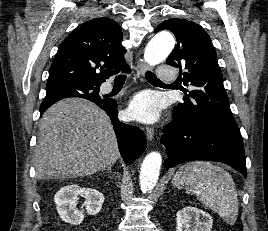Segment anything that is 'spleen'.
<instances>
[{
    "instance_id": "1",
    "label": "spleen",
    "mask_w": 268,
    "mask_h": 231,
    "mask_svg": "<svg viewBox=\"0 0 268 231\" xmlns=\"http://www.w3.org/2000/svg\"><path fill=\"white\" fill-rule=\"evenodd\" d=\"M173 186H186L189 192L207 208L217 212L227 223L234 224L238 216V199L231 175L207 161L182 165L172 179Z\"/></svg>"
}]
</instances>
